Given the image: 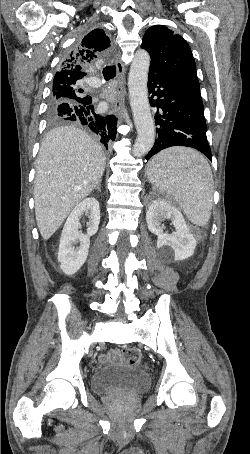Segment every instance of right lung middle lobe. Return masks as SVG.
Here are the masks:
<instances>
[{"instance_id": "1", "label": "right lung middle lobe", "mask_w": 250, "mask_h": 454, "mask_svg": "<svg viewBox=\"0 0 250 454\" xmlns=\"http://www.w3.org/2000/svg\"><path fill=\"white\" fill-rule=\"evenodd\" d=\"M81 92L82 90L77 89L76 83L53 85L48 109L49 121L51 123H59L64 121L60 116L57 115V105L61 102H68L70 104L82 102L87 98V96H81Z\"/></svg>"}]
</instances>
